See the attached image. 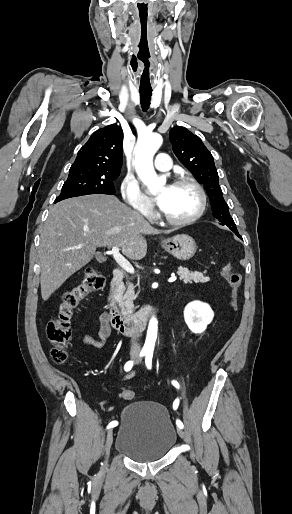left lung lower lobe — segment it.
I'll list each match as a JSON object with an SVG mask.
<instances>
[{"label": "left lung lower lobe", "mask_w": 292, "mask_h": 514, "mask_svg": "<svg viewBox=\"0 0 292 514\" xmlns=\"http://www.w3.org/2000/svg\"><path fill=\"white\" fill-rule=\"evenodd\" d=\"M240 239H242V237L239 235V233H235Z\"/></svg>", "instance_id": "left-lung-lower-lobe-1"}]
</instances>
